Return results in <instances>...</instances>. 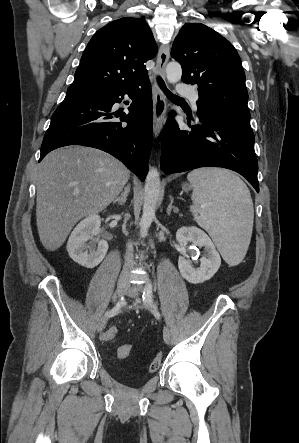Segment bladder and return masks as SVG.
I'll return each instance as SVG.
<instances>
[{"instance_id":"1","label":"bladder","mask_w":299,"mask_h":443,"mask_svg":"<svg viewBox=\"0 0 299 443\" xmlns=\"http://www.w3.org/2000/svg\"><path fill=\"white\" fill-rule=\"evenodd\" d=\"M121 378L130 384H136L143 380V377L136 373H124L121 375Z\"/></svg>"}]
</instances>
